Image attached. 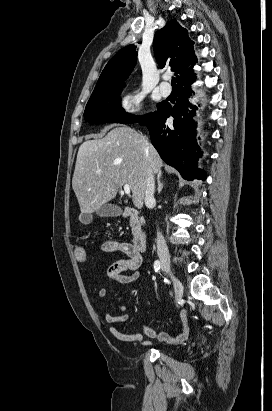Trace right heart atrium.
I'll use <instances>...</instances> for the list:
<instances>
[{
    "label": "right heart atrium",
    "instance_id": "obj_1",
    "mask_svg": "<svg viewBox=\"0 0 272 411\" xmlns=\"http://www.w3.org/2000/svg\"><path fill=\"white\" fill-rule=\"evenodd\" d=\"M143 96L137 91L126 92L120 99V109L126 114H136L140 112Z\"/></svg>",
    "mask_w": 272,
    "mask_h": 411
}]
</instances>
